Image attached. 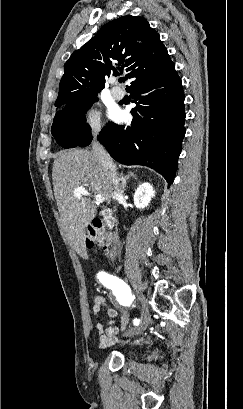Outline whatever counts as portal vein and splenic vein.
Returning <instances> with one entry per match:
<instances>
[{
  "label": "portal vein and splenic vein",
  "mask_w": 243,
  "mask_h": 409,
  "mask_svg": "<svg viewBox=\"0 0 243 409\" xmlns=\"http://www.w3.org/2000/svg\"><path fill=\"white\" fill-rule=\"evenodd\" d=\"M74 195H75L76 197H80V196H91L90 192H89L86 188H84V187H78V188H76V189L74 190ZM94 199H95V201L98 202V203H102V202H104V200H105L104 196L101 195V194H96V195H94Z\"/></svg>",
  "instance_id": "1"
}]
</instances>
